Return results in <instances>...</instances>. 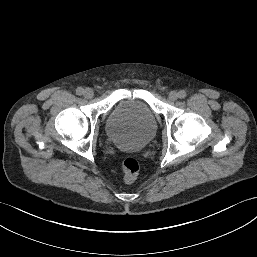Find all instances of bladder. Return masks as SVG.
<instances>
[{
    "instance_id": "1",
    "label": "bladder",
    "mask_w": 257,
    "mask_h": 257,
    "mask_svg": "<svg viewBox=\"0 0 257 257\" xmlns=\"http://www.w3.org/2000/svg\"><path fill=\"white\" fill-rule=\"evenodd\" d=\"M106 134L118 148L139 150L156 137V119L142 99H125L111 110L106 121Z\"/></svg>"
}]
</instances>
